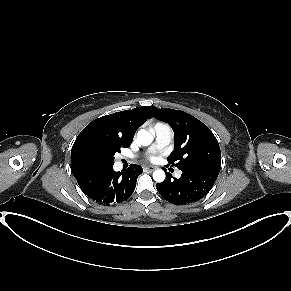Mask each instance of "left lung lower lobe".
<instances>
[{
    "label": "left lung lower lobe",
    "mask_w": 291,
    "mask_h": 291,
    "mask_svg": "<svg viewBox=\"0 0 291 291\" xmlns=\"http://www.w3.org/2000/svg\"><path fill=\"white\" fill-rule=\"evenodd\" d=\"M179 179H172L169 173L166 180L156 184L160 195L174 205L198 201L211 190L220 168L214 166H192L180 169Z\"/></svg>",
    "instance_id": "left-lung-lower-lobe-1"
}]
</instances>
